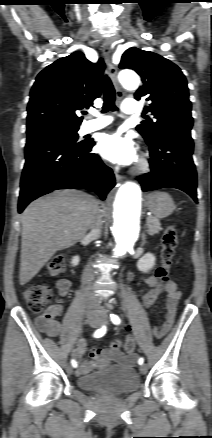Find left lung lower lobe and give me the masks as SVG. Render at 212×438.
<instances>
[{"label": "left lung lower lobe", "mask_w": 212, "mask_h": 438, "mask_svg": "<svg viewBox=\"0 0 212 438\" xmlns=\"http://www.w3.org/2000/svg\"><path fill=\"white\" fill-rule=\"evenodd\" d=\"M147 144L151 171L138 178L142 190L177 188L197 202V174L192 160L194 144L190 132L160 134Z\"/></svg>", "instance_id": "obj_1"}]
</instances>
